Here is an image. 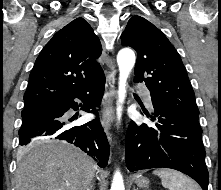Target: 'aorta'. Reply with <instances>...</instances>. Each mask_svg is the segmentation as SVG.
<instances>
[{"mask_svg":"<svg viewBox=\"0 0 221 190\" xmlns=\"http://www.w3.org/2000/svg\"><path fill=\"white\" fill-rule=\"evenodd\" d=\"M117 63L119 66V87L117 100V119L120 121L123 110V103L126 97V81L132 68L135 65V54L129 48L121 49L117 55ZM110 190H125L123 177L119 170H116L111 184Z\"/></svg>","mask_w":221,"mask_h":190,"instance_id":"1","label":"aorta"}]
</instances>
